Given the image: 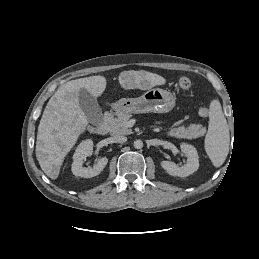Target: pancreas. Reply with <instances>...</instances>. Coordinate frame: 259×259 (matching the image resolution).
I'll use <instances>...</instances> for the list:
<instances>
[{"label":"pancreas","mask_w":259,"mask_h":259,"mask_svg":"<svg viewBox=\"0 0 259 259\" xmlns=\"http://www.w3.org/2000/svg\"><path fill=\"white\" fill-rule=\"evenodd\" d=\"M130 118V114L119 115L117 118L109 116L105 120V125L113 136L128 135L132 133V130L126 126V123ZM205 132L206 128L201 124H190L187 127L179 126L177 128H173L168 132V135L177 138L194 139L203 136Z\"/></svg>","instance_id":"pancreas-1"}]
</instances>
